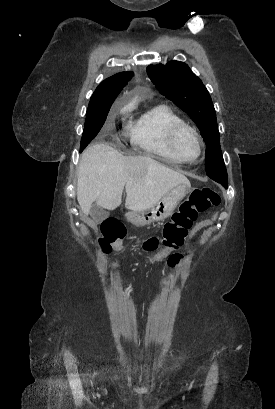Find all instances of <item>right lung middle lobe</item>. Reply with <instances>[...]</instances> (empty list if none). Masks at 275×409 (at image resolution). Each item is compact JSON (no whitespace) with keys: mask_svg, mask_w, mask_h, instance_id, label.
<instances>
[{"mask_svg":"<svg viewBox=\"0 0 275 409\" xmlns=\"http://www.w3.org/2000/svg\"><path fill=\"white\" fill-rule=\"evenodd\" d=\"M110 107L99 108V109H89L86 113L85 127L81 140V150L82 152L86 146L96 137L100 129L102 128Z\"/></svg>","mask_w":275,"mask_h":409,"instance_id":"1","label":"right lung middle lobe"}]
</instances>
